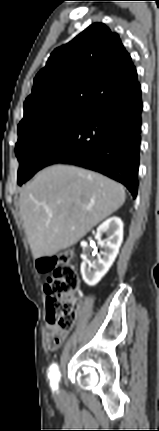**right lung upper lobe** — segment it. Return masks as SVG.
Listing matches in <instances>:
<instances>
[{
	"label": "right lung upper lobe",
	"mask_w": 159,
	"mask_h": 431,
	"mask_svg": "<svg viewBox=\"0 0 159 431\" xmlns=\"http://www.w3.org/2000/svg\"><path fill=\"white\" fill-rule=\"evenodd\" d=\"M138 84L119 35L94 23L55 49L34 78L18 129L65 111L91 113Z\"/></svg>",
	"instance_id": "cb5924a9"
}]
</instances>
